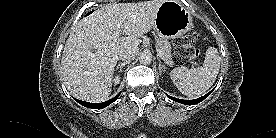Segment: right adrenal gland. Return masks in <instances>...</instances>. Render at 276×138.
<instances>
[{
    "mask_svg": "<svg viewBox=\"0 0 276 138\" xmlns=\"http://www.w3.org/2000/svg\"><path fill=\"white\" fill-rule=\"evenodd\" d=\"M129 64V62H123V63H119L117 66H116V69H119L120 68V72H122V68Z\"/></svg>",
    "mask_w": 276,
    "mask_h": 138,
    "instance_id": "obj_1",
    "label": "right adrenal gland"
}]
</instances>
